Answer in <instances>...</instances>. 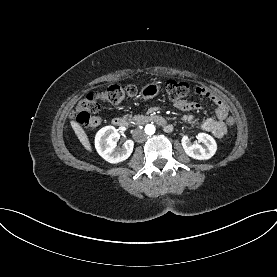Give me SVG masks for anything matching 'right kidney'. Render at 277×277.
Here are the masks:
<instances>
[{"mask_svg": "<svg viewBox=\"0 0 277 277\" xmlns=\"http://www.w3.org/2000/svg\"><path fill=\"white\" fill-rule=\"evenodd\" d=\"M120 138L118 130L113 126L100 129L95 136V147L99 155L110 163H119L128 159L133 151V140H127L122 149H117Z\"/></svg>", "mask_w": 277, "mask_h": 277, "instance_id": "obj_1", "label": "right kidney"}]
</instances>
